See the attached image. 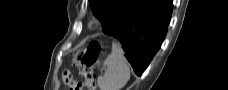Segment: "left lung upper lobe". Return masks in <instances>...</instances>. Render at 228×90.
I'll return each mask as SVG.
<instances>
[{"label": "left lung upper lobe", "instance_id": "left-lung-upper-lobe-1", "mask_svg": "<svg viewBox=\"0 0 228 90\" xmlns=\"http://www.w3.org/2000/svg\"><path fill=\"white\" fill-rule=\"evenodd\" d=\"M93 13L102 23V30L110 27L117 17L127 11L132 0H89Z\"/></svg>", "mask_w": 228, "mask_h": 90}]
</instances>
